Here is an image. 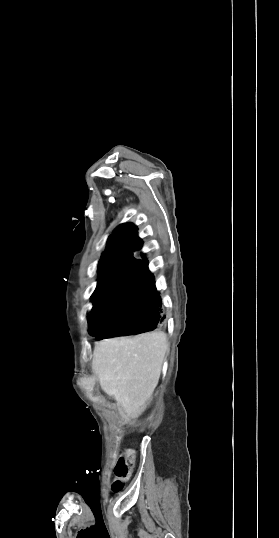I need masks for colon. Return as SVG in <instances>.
Returning a JSON list of instances; mask_svg holds the SVG:
<instances>
[{
  "mask_svg": "<svg viewBox=\"0 0 279 538\" xmlns=\"http://www.w3.org/2000/svg\"><path fill=\"white\" fill-rule=\"evenodd\" d=\"M134 461V451L126 450L117 460L114 467L115 479L112 490L118 492L123 488L124 482L130 477Z\"/></svg>",
  "mask_w": 279,
  "mask_h": 538,
  "instance_id": "obj_1",
  "label": "colon"
}]
</instances>
